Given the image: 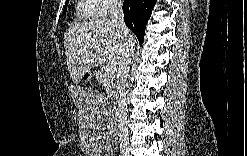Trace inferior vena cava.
Returning a JSON list of instances; mask_svg holds the SVG:
<instances>
[{"label": "inferior vena cava", "instance_id": "obj_1", "mask_svg": "<svg viewBox=\"0 0 247 156\" xmlns=\"http://www.w3.org/2000/svg\"><path fill=\"white\" fill-rule=\"evenodd\" d=\"M110 20L122 34L123 52L117 72V85L114 103L116 105V115L118 117V127L121 137L127 136V102H126V78L131 65L134 54V42L132 41L130 31L124 23V15L122 10V2L120 0H112L109 3Z\"/></svg>", "mask_w": 247, "mask_h": 156}]
</instances>
